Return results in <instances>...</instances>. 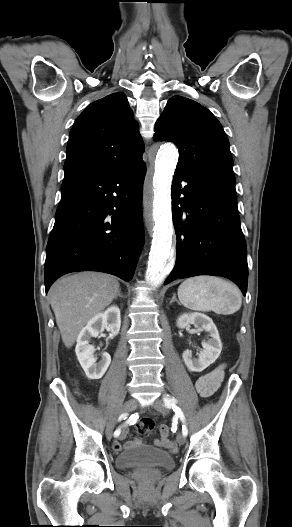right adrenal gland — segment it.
<instances>
[{
  "label": "right adrenal gland",
  "instance_id": "1",
  "mask_svg": "<svg viewBox=\"0 0 292 527\" xmlns=\"http://www.w3.org/2000/svg\"><path fill=\"white\" fill-rule=\"evenodd\" d=\"M118 297L123 298V295L121 294L120 291L118 292V294H117V296L115 297V299H117Z\"/></svg>",
  "mask_w": 292,
  "mask_h": 527
}]
</instances>
